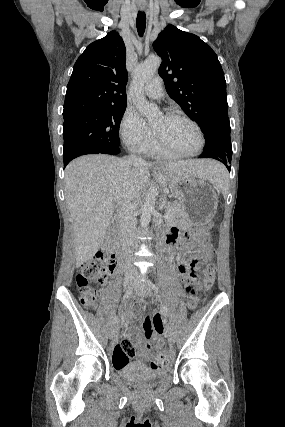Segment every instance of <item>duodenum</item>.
I'll return each instance as SVG.
<instances>
[{"mask_svg":"<svg viewBox=\"0 0 285 427\" xmlns=\"http://www.w3.org/2000/svg\"><path fill=\"white\" fill-rule=\"evenodd\" d=\"M124 227H125V222L121 217H118L112 223L113 237L111 239L108 254L114 261H116L120 257L122 252L121 232L124 229ZM164 250L168 251L170 250V247L168 245H165Z\"/></svg>","mask_w":285,"mask_h":427,"instance_id":"410a0bca","label":"duodenum"}]
</instances>
